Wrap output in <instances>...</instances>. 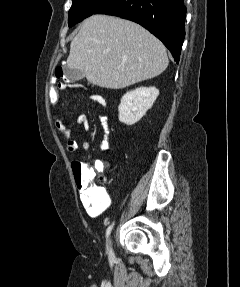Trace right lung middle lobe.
Returning a JSON list of instances; mask_svg holds the SVG:
<instances>
[{
	"label": "right lung middle lobe",
	"mask_w": 240,
	"mask_h": 287,
	"mask_svg": "<svg viewBox=\"0 0 240 287\" xmlns=\"http://www.w3.org/2000/svg\"><path fill=\"white\" fill-rule=\"evenodd\" d=\"M107 0H72L68 13L69 27L94 14Z\"/></svg>",
	"instance_id": "right-lung-middle-lobe-1"
}]
</instances>
